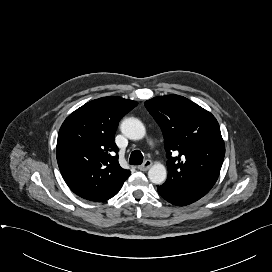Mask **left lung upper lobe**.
<instances>
[{"instance_id":"obj_1","label":"left lung upper lobe","mask_w":272,"mask_h":272,"mask_svg":"<svg viewBox=\"0 0 272 272\" xmlns=\"http://www.w3.org/2000/svg\"><path fill=\"white\" fill-rule=\"evenodd\" d=\"M145 106L163 131L168 177L164 184L213 187L225 156L216 118L179 95L155 97ZM174 152L177 156L172 157Z\"/></svg>"}]
</instances>
